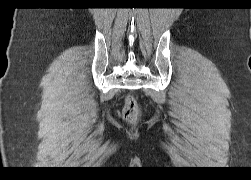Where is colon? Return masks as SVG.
Returning a JSON list of instances; mask_svg holds the SVG:
<instances>
[{"label":"colon","instance_id":"obj_1","mask_svg":"<svg viewBox=\"0 0 251 180\" xmlns=\"http://www.w3.org/2000/svg\"><path fill=\"white\" fill-rule=\"evenodd\" d=\"M140 116V106L136 98L128 96L123 108V117L126 121L134 123Z\"/></svg>","mask_w":251,"mask_h":180}]
</instances>
